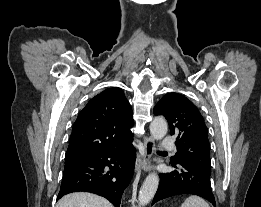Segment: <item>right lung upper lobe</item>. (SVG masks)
<instances>
[{
    "instance_id": "cb5924a9",
    "label": "right lung upper lobe",
    "mask_w": 261,
    "mask_h": 207,
    "mask_svg": "<svg viewBox=\"0 0 261 207\" xmlns=\"http://www.w3.org/2000/svg\"><path fill=\"white\" fill-rule=\"evenodd\" d=\"M132 108L123 91L109 88L80 112L70 136L65 164L119 148L132 141Z\"/></svg>"
}]
</instances>
